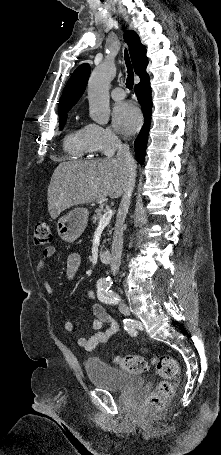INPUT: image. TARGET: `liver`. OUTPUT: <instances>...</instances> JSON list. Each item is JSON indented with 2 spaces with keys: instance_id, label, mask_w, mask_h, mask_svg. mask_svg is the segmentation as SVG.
<instances>
[{
  "instance_id": "obj_1",
  "label": "liver",
  "mask_w": 221,
  "mask_h": 455,
  "mask_svg": "<svg viewBox=\"0 0 221 455\" xmlns=\"http://www.w3.org/2000/svg\"><path fill=\"white\" fill-rule=\"evenodd\" d=\"M128 176L117 159L64 161L51 178L47 200L52 219L72 206L120 197Z\"/></svg>"
}]
</instances>
